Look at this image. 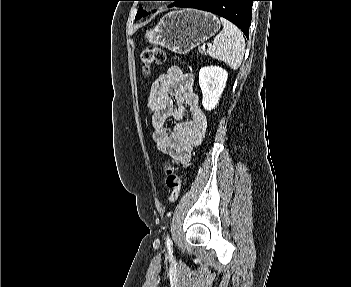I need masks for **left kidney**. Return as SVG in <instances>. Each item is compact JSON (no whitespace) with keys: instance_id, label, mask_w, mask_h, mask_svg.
<instances>
[{"instance_id":"obj_1","label":"left kidney","mask_w":351,"mask_h":287,"mask_svg":"<svg viewBox=\"0 0 351 287\" xmlns=\"http://www.w3.org/2000/svg\"><path fill=\"white\" fill-rule=\"evenodd\" d=\"M228 73L219 66L203 67L199 71V85L202 91V105L211 111L217 105L225 88Z\"/></svg>"}]
</instances>
